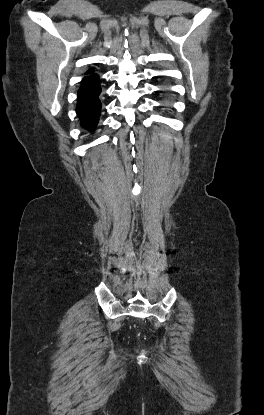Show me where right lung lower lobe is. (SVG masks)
Listing matches in <instances>:
<instances>
[{"label":"right lung lower lobe","mask_w":264,"mask_h":415,"mask_svg":"<svg viewBox=\"0 0 264 415\" xmlns=\"http://www.w3.org/2000/svg\"><path fill=\"white\" fill-rule=\"evenodd\" d=\"M100 92L101 87L96 74H91L89 79L85 77L82 80L78 91L76 112L82 127L87 130L94 131L98 123L101 110Z\"/></svg>","instance_id":"98d812e1"}]
</instances>
